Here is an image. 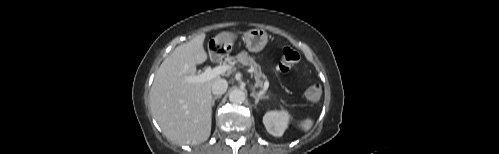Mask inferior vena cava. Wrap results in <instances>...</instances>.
Wrapping results in <instances>:
<instances>
[{
    "mask_svg": "<svg viewBox=\"0 0 499 154\" xmlns=\"http://www.w3.org/2000/svg\"><path fill=\"white\" fill-rule=\"evenodd\" d=\"M228 83L225 79H218L212 85V93L214 95H222L227 91Z\"/></svg>",
    "mask_w": 499,
    "mask_h": 154,
    "instance_id": "1",
    "label": "inferior vena cava"
}]
</instances>
